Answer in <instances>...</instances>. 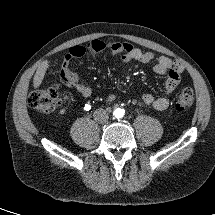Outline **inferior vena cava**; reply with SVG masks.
Returning a JSON list of instances; mask_svg holds the SVG:
<instances>
[{"mask_svg":"<svg viewBox=\"0 0 215 215\" xmlns=\"http://www.w3.org/2000/svg\"><path fill=\"white\" fill-rule=\"evenodd\" d=\"M94 118L97 119V120H104L106 118V113L102 110H97L95 113H94Z\"/></svg>","mask_w":215,"mask_h":215,"instance_id":"obj_1","label":"inferior vena cava"}]
</instances>
